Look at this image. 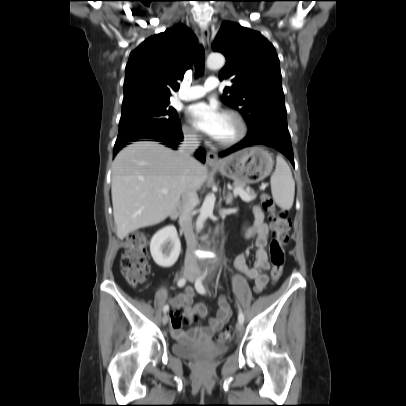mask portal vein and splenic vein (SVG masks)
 Wrapping results in <instances>:
<instances>
[{
    "label": "portal vein and splenic vein",
    "mask_w": 406,
    "mask_h": 406,
    "mask_svg": "<svg viewBox=\"0 0 406 406\" xmlns=\"http://www.w3.org/2000/svg\"><path fill=\"white\" fill-rule=\"evenodd\" d=\"M160 192H161L162 194H167V193H168V190H167V189H162V190H160ZM233 193H234L235 196L239 195L241 198H244V199H246V200L249 199L248 194H247L243 189H241V188H235L234 191H233Z\"/></svg>",
    "instance_id": "portal-vein-and-splenic-vein-1"
}]
</instances>
